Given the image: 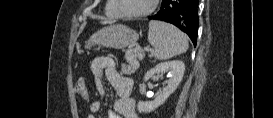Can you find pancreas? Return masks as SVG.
Wrapping results in <instances>:
<instances>
[{"label": "pancreas", "instance_id": "cf45deb5", "mask_svg": "<svg viewBox=\"0 0 273 118\" xmlns=\"http://www.w3.org/2000/svg\"><path fill=\"white\" fill-rule=\"evenodd\" d=\"M138 56H139V52L135 51L134 49H129L126 52L125 58L128 65H125V64L122 65L123 74L131 75L135 73L139 65L137 61Z\"/></svg>", "mask_w": 273, "mask_h": 118}]
</instances>
